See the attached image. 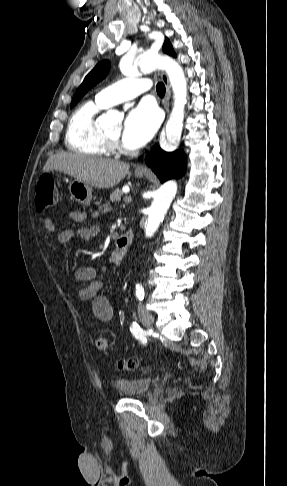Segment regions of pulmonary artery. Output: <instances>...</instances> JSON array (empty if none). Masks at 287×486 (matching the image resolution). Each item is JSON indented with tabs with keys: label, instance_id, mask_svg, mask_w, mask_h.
I'll use <instances>...</instances> for the list:
<instances>
[{
	"label": "pulmonary artery",
	"instance_id": "1",
	"mask_svg": "<svg viewBox=\"0 0 287 486\" xmlns=\"http://www.w3.org/2000/svg\"><path fill=\"white\" fill-rule=\"evenodd\" d=\"M149 88L150 83L147 79L126 78L97 93L96 101L104 107H110L133 99L146 92Z\"/></svg>",
	"mask_w": 287,
	"mask_h": 486
}]
</instances>
